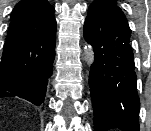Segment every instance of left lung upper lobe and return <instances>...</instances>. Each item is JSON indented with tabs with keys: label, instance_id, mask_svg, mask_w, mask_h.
<instances>
[{
	"label": "left lung upper lobe",
	"instance_id": "1",
	"mask_svg": "<svg viewBox=\"0 0 151 131\" xmlns=\"http://www.w3.org/2000/svg\"><path fill=\"white\" fill-rule=\"evenodd\" d=\"M102 4H110V5H116V1L115 0H95L90 7L96 6V5H102ZM89 7V8H90ZM118 7V6H117Z\"/></svg>",
	"mask_w": 151,
	"mask_h": 131
}]
</instances>
